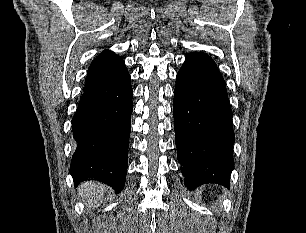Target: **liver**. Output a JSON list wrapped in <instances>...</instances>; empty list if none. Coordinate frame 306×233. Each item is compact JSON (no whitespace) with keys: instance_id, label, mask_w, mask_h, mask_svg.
Listing matches in <instances>:
<instances>
[{"instance_id":"obj_1","label":"liver","mask_w":306,"mask_h":233,"mask_svg":"<svg viewBox=\"0 0 306 233\" xmlns=\"http://www.w3.org/2000/svg\"><path fill=\"white\" fill-rule=\"evenodd\" d=\"M107 187L95 181H87L81 184L79 194L83 197L86 206L92 209L97 208L104 197Z\"/></svg>"}]
</instances>
